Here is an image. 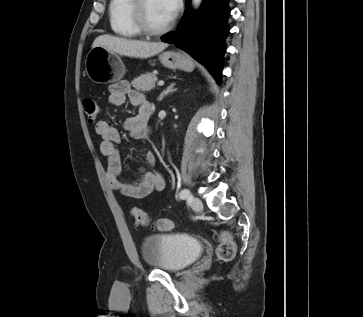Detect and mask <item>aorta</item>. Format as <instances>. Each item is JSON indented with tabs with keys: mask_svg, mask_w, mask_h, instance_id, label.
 I'll list each match as a JSON object with an SVG mask.
<instances>
[{
	"mask_svg": "<svg viewBox=\"0 0 363 317\" xmlns=\"http://www.w3.org/2000/svg\"><path fill=\"white\" fill-rule=\"evenodd\" d=\"M202 3V0H192V6L194 9H198Z\"/></svg>",
	"mask_w": 363,
	"mask_h": 317,
	"instance_id": "aorta-1",
	"label": "aorta"
}]
</instances>
